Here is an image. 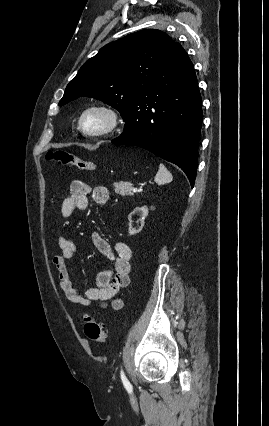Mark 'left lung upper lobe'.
I'll return each mask as SVG.
<instances>
[{
  "mask_svg": "<svg viewBox=\"0 0 269 426\" xmlns=\"http://www.w3.org/2000/svg\"><path fill=\"white\" fill-rule=\"evenodd\" d=\"M173 45L167 34L156 29L105 45L69 82L59 105L81 96L93 97L116 108L124 119L136 97L149 89L151 77Z\"/></svg>",
  "mask_w": 269,
  "mask_h": 426,
  "instance_id": "left-lung-upper-lobe-1",
  "label": "left lung upper lobe"
}]
</instances>
